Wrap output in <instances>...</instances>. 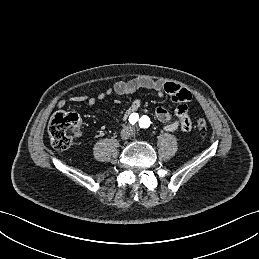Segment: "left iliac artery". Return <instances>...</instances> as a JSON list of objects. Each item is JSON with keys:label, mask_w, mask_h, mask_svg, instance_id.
<instances>
[{"label": "left iliac artery", "mask_w": 259, "mask_h": 259, "mask_svg": "<svg viewBox=\"0 0 259 259\" xmlns=\"http://www.w3.org/2000/svg\"><path fill=\"white\" fill-rule=\"evenodd\" d=\"M150 118L148 116H142L139 120V125L141 128H148L150 126Z\"/></svg>", "instance_id": "1"}]
</instances>
